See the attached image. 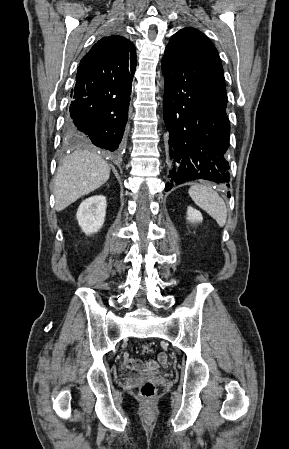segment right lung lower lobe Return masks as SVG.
Returning a JSON list of instances; mask_svg holds the SVG:
<instances>
[{
  "mask_svg": "<svg viewBox=\"0 0 289 449\" xmlns=\"http://www.w3.org/2000/svg\"><path fill=\"white\" fill-rule=\"evenodd\" d=\"M134 71L112 79H77L66 120L67 131L111 152L118 149L128 120Z\"/></svg>",
  "mask_w": 289,
  "mask_h": 449,
  "instance_id": "98d812e1",
  "label": "right lung lower lobe"
}]
</instances>
